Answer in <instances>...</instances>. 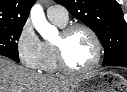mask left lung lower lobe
Wrapping results in <instances>:
<instances>
[{
    "mask_svg": "<svg viewBox=\"0 0 127 92\" xmlns=\"http://www.w3.org/2000/svg\"><path fill=\"white\" fill-rule=\"evenodd\" d=\"M122 66L127 68V52H121L109 60L103 61V66Z\"/></svg>",
    "mask_w": 127,
    "mask_h": 92,
    "instance_id": "1",
    "label": "left lung lower lobe"
}]
</instances>
